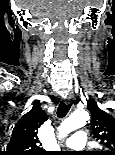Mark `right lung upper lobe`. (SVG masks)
<instances>
[{
	"label": "right lung upper lobe",
	"instance_id": "cb5924a9",
	"mask_svg": "<svg viewBox=\"0 0 115 155\" xmlns=\"http://www.w3.org/2000/svg\"><path fill=\"white\" fill-rule=\"evenodd\" d=\"M47 119L45 111L41 109L39 103H35L32 109L16 123L3 155H46V151L40 148L37 133L38 128Z\"/></svg>",
	"mask_w": 115,
	"mask_h": 155
}]
</instances>
